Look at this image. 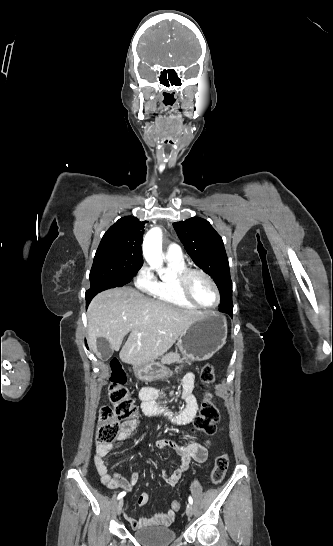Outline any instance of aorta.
Wrapping results in <instances>:
<instances>
[{
	"label": "aorta",
	"mask_w": 333,
	"mask_h": 546,
	"mask_svg": "<svg viewBox=\"0 0 333 546\" xmlns=\"http://www.w3.org/2000/svg\"><path fill=\"white\" fill-rule=\"evenodd\" d=\"M143 255L151 267L160 269L159 275L165 273L161 270L163 264L162 258V231L159 227H154L146 234L143 241Z\"/></svg>",
	"instance_id": "762f6f07"
}]
</instances>
